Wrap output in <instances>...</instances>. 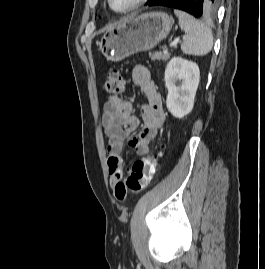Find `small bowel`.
<instances>
[{"label":"small bowel","mask_w":265,"mask_h":269,"mask_svg":"<svg viewBox=\"0 0 265 269\" xmlns=\"http://www.w3.org/2000/svg\"><path fill=\"white\" fill-rule=\"evenodd\" d=\"M136 86L144 95L146 102L142 106V131L129 139V145L138 155H147L150 144L165 123L162 98L156 89L149 70L137 65L132 72ZM102 125L107 137V167L110 175V186L116 195L117 187L123 186L121 152L124 141L139 126V119L133 113L130 101L116 96H108L103 107ZM117 197V196H116Z\"/></svg>","instance_id":"c3829d8e"}]
</instances>
